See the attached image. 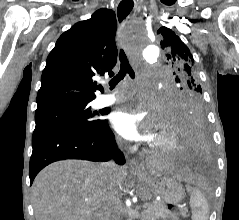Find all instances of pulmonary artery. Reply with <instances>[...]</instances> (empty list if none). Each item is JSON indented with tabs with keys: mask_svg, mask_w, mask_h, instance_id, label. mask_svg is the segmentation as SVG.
<instances>
[{
	"mask_svg": "<svg viewBox=\"0 0 239 220\" xmlns=\"http://www.w3.org/2000/svg\"><path fill=\"white\" fill-rule=\"evenodd\" d=\"M119 100V97L118 95L112 93V94H106V95H103L101 98H100V104L105 106V105H111L115 102H117Z\"/></svg>",
	"mask_w": 239,
	"mask_h": 220,
	"instance_id": "obj_1",
	"label": "pulmonary artery"
}]
</instances>
